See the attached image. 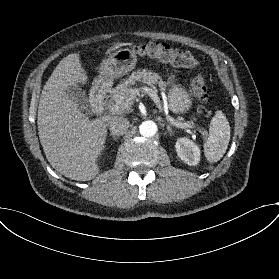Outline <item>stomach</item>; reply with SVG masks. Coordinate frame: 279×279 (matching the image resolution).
<instances>
[{"mask_svg":"<svg viewBox=\"0 0 279 279\" xmlns=\"http://www.w3.org/2000/svg\"><path fill=\"white\" fill-rule=\"evenodd\" d=\"M138 63L134 49L120 48L104 59L99 67V76L107 82L122 78L133 71ZM168 87L167 106L173 115L188 114L193 107L194 98L179 82L176 72L169 71L165 76Z\"/></svg>","mask_w":279,"mask_h":279,"instance_id":"1","label":"stomach"}]
</instances>
